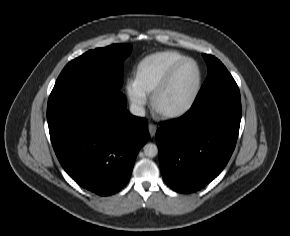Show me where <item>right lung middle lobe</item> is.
I'll return each instance as SVG.
<instances>
[{"instance_id": "obj_1", "label": "right lung middle lobe", "mask_w": 290, "mask_h": 236, "mask_svg": "<svg viewBox=\"0 0 290 236\" xmlns=\"http://www.w3.org/2000/svg\"><path fill=\"white\" fill-rule=\"evenodd\" d=\"M131 49V45L113 44L90 50L70 61L59 75L51 95L120 91L122 62Z\"/></svg>"}]
</instances>
